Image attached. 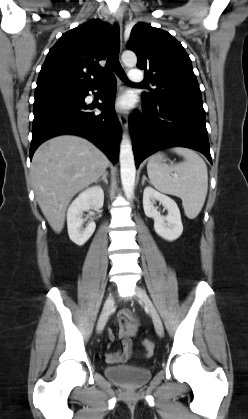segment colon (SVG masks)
Here are the masks:
<instances>
[{
	"label": "colon",
	"instance_id": "5ec220e1",
	"mask_svg": "<svg viewBox=\"0 0 248 419\" xmlns=\"http://www.w3.org/2000/svg\"><path fill=\"white\" fill-rule=\"evenodd\" d=\"M142 346L143 349L148 353H152L154 350V342L150 339H144L142 341Z\"/></svg>",
	"mask_w": 248,
	"mask_h": 419
}]
</instances>
